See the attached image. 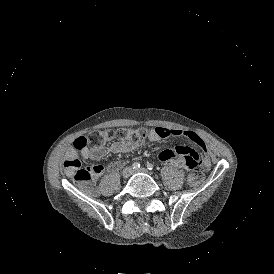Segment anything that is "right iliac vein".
Instances as JSON below:
<instances>
[{
  "label": "right iliac vein",
  "instance_id": "obj_1",
  "mask_svg": "<svg viewBox=\"0 0 274 274\" xmlns=\"http://www.w3.org/2000/svg\"><path fill=\"white\" fill-rule=\"evenodd\" d=\"M132 174V170L131 168H125L123 171H122V177L124 179H127L129 178V176Z\"/></svg>",
  "mask_w": 274,
  "mask_h": 274
}]
</instances>
